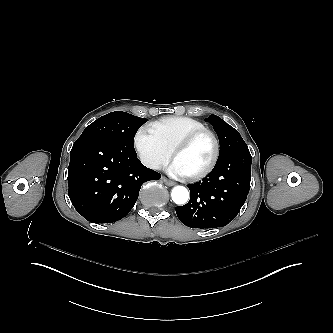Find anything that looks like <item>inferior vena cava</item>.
<instances>
[{
  "label": "inferior vena cava",
  "mask_w": 333,
  "mask_h": 333,
  "mask_svg": "<svg viewBox=\"0 0 333 333\" xmlns=\"http://www.w3.org/2000/svg\"><path fill=\"white\" fill-rule=\"evenodd\" d=\"M150 167L152 169H160L161 168V165L159 163H153V164H150Z\"/></svg>",
  "instance_id": "1"
}]
</instances>
